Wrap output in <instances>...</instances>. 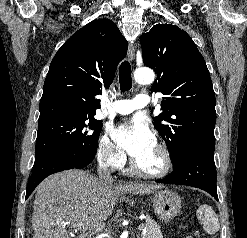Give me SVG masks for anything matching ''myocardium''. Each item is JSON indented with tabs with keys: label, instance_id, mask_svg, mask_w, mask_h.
I'll use <instances>...</instances> for the list:
<instances>
[{
	"label": "myocardium",
	"instance_id": "myocardium-1",
	"mask_svg": "<svg viewBox=\"0 0 247 238\" xmlns=\"http://www.w3.org/2000/svg\"><path fill=\"white\" fill-rule=\"evenodd\" d=\"M155 147L161 155V168L155 172L145 171L137 165L135 160H133L131 162V169L136 175L148 179H158L166 176L169 173L172 167V159L169 150L165 145L159 142H155Z\"/></svg>",
	"mask_w": 247,
	"mask_h": 238
}]
</instances>
